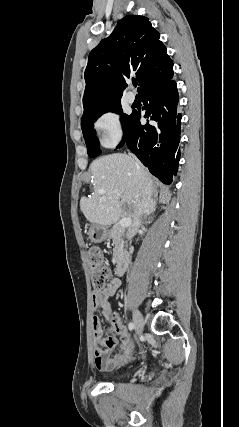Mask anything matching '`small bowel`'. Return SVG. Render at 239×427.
I'll list each match as a JSON object with an SVG mask.
<instances>
[{"mask_svg": "<svg viewBox=\"0 0 239 427\" xmlns=\"http://www.w3.org/2000/svg\"><path fill=\"white\" fill-rule=\"evenodd\" d=\"M119 287L118 280L109 281L103 288L96 289L92 294V305L94 309L101 308L106 319L112 321L113 329L119 339L115 336H109L102 339V330L97 316L93 317V336H94V363L97 369L101 371L114 370L124 366L133 358L134 344L126 328L122 325L118 315L111 310L109 298L112 297ZM118 348L120 353L110 356V351Z\"/></svg>", "mask_w": 239, "mask_h": 427, "instance_id": "c3829d8e", "label": "small bowel"}]
</instances>
